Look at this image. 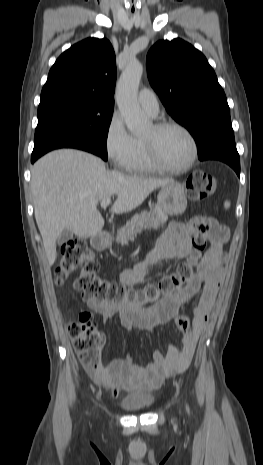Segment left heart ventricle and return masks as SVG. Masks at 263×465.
<instances>
[{
  "mask_svg": "<svg viewBox=\"0 0 263 465\" xmlns=\"http://www.w3.org/2000/svg\"><path fill=\"white\" fill-rule=\"evenodd\" d=\"M142 138L153 139L161 160L171 166L185 164L191 154L192 145L189 138L176 128H168L156 133L151 126Z\"/></svg>",
  "mask_w": 263,
  "mask_h": 465,
  "instance_id": "1",
  "label": "left heart ventricle"
}]
</instances>
